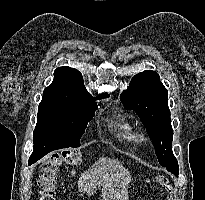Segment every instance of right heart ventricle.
Returning a JSON list of instances; mask_svg holds the SVG:
<instances>
[{
  "label": "right heart ventricle",
  "mask_w": 205,
  "mask_h": 200,
  "mask_svg": "<svg viewBox=\"0 0 205 200\" xmlns=\"http://www.w3.org/2000/svg\"><path fill=\"white\" fill-rule=\"evenodd\" d=\"M112 127L116 130L121 142L131 144L134 141V126L125 117L116 116L112 120Z\"/></svg>",
  "instance_id": "obj_1"
}]
</instances>
